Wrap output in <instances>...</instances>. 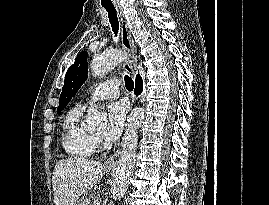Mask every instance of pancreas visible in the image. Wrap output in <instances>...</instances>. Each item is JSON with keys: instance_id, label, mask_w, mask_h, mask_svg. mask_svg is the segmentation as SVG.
I'll return each instance as SVG.
<instances>
[{"instance_id": "obj_1", "label": "pancreas", "mask_w": 269, "mask_h": 205, "mask_svg": "<svg viewBox=\"0 0 269 205\" xmlns=\"http://www.w3.org/2000/svg\"><path fill=\"white\" fill-rule=\"evenodd\" d=\"M90 198L93 200V203L91 205H99L100 204V198H98L94 194H91Z\"/></svg>"}]
</instances>
